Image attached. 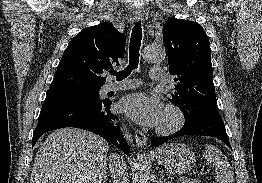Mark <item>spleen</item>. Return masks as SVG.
<instances>
[{
	"instance_id": "obj_1",
	"label": "spleen",
	"mask_w": 262,
	"mask_h": 183,
	"mask_svg": "<svg viewBox=\"0 0 262 183\" xmlns=\"http://www.w3.org/2000/svg\"><path fill=\"white\" fill-rule=\"evenodd\" d=\"M203 157L216 170L215 180L219 183H234V172L226 156L214 145L205 146Z\"/></svg>"
}]
</instances>
